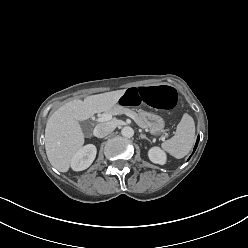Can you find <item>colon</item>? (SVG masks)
<instances>
[{
    "instance_id": "5ec220e1",
    "label": "colon",
    "mask_w": 248,
    "mask_h": 248,
    "mask_svg": "<svg viewBox=\"0 0 248 248\" xmlns=\"http://www.w3.org/2000/svg\"><path fill=\"white\" fill-rule=\"evenodd\" d=\"M120 102L125 107L147 103L160 110H171L177 105V93L173 87L167 85L130 88Z\"/></svg>"
}]
</instances>
